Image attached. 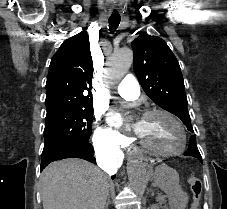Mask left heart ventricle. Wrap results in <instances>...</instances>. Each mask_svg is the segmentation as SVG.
I'll return each mask as SVG.
<instances>
[{
  "label": "left heart ventricle",
  "mask_w": 227,
  "mask_h": 209,
  "mask_svg": "<svg viewBox=\"0 0 227 209\" xmlns=\"http://www.w3.org/2000/svg\"><path fill=\"white\" fill-rule=\"evenodd\" d=\"M135 132L141 139L160 150H172L181 144L178 127L160 113L142 118L136 124Z\"/></svg>",
  "instance_id": "1"
}]
</instances>
